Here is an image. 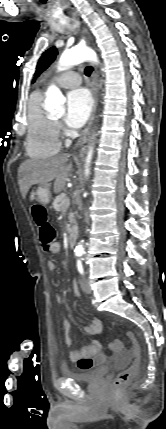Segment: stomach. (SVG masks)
Segmentation results:
<instances>
[{
    "mask_svg": "<svg viewBox=\"0 0 166 429\" xmlns=\"http://www.w3.org/2000/svg\"><path fill=\"white\" fill-rule=\"evenodd\" d=\"M32 196L35 198V200L43 205H47L50 202L51 199V192L48 187V185H40L34 193H32Z\"/></svg>",
    "mask_w": 166,
    "mask_h": 429,
    "instance_id": "obj_1",
    "label": "stomach"
}]
</instances>
